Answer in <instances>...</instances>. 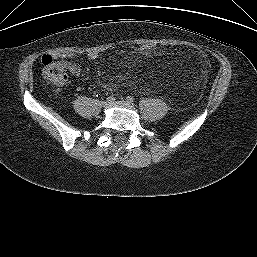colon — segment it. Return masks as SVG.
I'll list each match as a JSON object with an SVG mask.
<instances>
[{
  "label": "colon",
  "instance_id": "obj_1",
  "mask_svg": "<svg viewBox=\"0 0 257 257\" xmlns=\"http://www.w3.org/2000/svg\"><path fill=\"white\" fill-rule=\"evenodd\" d=\"M155 46L149 43H143L140 45V51L142 53H150L155 50ZM43 74L50 82L55 85L61 86L66 80V74L63 67L54 61L50 55H44L42 57Z\"/></svg>",
  "mask_w": 257,
  "mask_h": 257
}]
</instances>
